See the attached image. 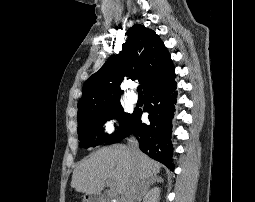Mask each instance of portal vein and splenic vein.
<instances>
[{
	"mask_svg": "<svg viewBox=\"0 0 255 202\" xmlns=\"http://www.w3.org/2000/svg\"><path fill=\"white\" fill-rule=\"evenodd\" d=\"M106 183H107V185L111 186V189H110L111 194H112V195H115L116 192H115V189H114V187H113V186H114V185H113V182L110 181V180H108Z\"/></svg>",
	"mask_w": 255,
	"mask_h": 202,
	"instance_id": "obj_1",
	"label": "portal vein and splenic vein"
}]
</instances>
